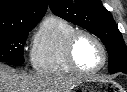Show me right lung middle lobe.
<instances>
[{"label": "right lung middle lobe", "instance_id": "1", "mask_svg": "<svg viewBox=\"0 0 127 92\" xmlns=\"http://www.w3.org/2000/svg\"><path fill=\"white\" fill-rule=\"evenodd\" d=\"M35 26L0 30V61L23 63L24 44L29 31Z\"/></svg>", "mask_w": 127, "mask_h": 92}]
</instances>
